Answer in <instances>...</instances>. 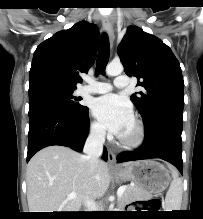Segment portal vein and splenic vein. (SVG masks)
<instances>
[{
    "label": "portal vein and splenic vein",
    "mask_w": 203,
    "mask_h": 219,
    "mask_svg": "<svg viewBox=\"0 0 203 219\" xmlns=\"http://www.w3.org/2000/svg\"><path fill=\"white\" fill-rule=\"evenodd\" d=\"M125 190H126V187H125V186H120V187L118 188V190H117V196H118V198H121V197H122V195H123V193L125 192ZM67 198H68V200L74 199V198H76V194H75V193H71V194H69V195L67 196ZM85 203H86V205H87L88 207L96 208V207H95V204H94L92 201H86Z\"/></svg>",
    "instance_id": "18ae733b"
}]
</instances>
